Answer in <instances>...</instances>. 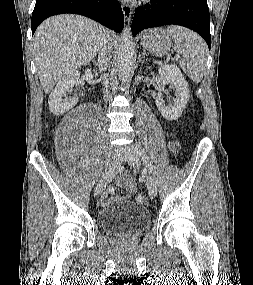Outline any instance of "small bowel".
<instances>
[{
	"label": "small bowel",
	"instance_id": "small-bowel-1",
	"mask_svg": "<svg viewBox=\"0 0 253 285\" xmlns=\"http://www.w3.org/2000/svg\"><path fill=\"white\" fill-rule=\"evenodd\" d=\"M170 148L172 150H175L177 148V144L175 142L170 143ZM117 184L125 187L126 194L114 197L115 190L113 187H109L101 196L100 204L102 206H108L114 202L126 201L136 191L135 182L131 178H129L126 174H122L118 177Z\"/></svg>",
	"mask_w": 253,
	"mask_h": 285
}]
</instances>
